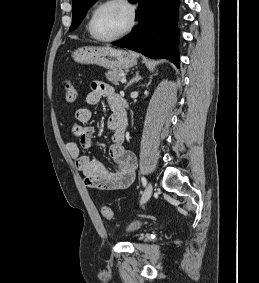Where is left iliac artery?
Listing matches in <instances>:
<instances>
[{
	"label": "left iliac artery",
	"instance_id": "44dca946",
	"mask_svg": "<svg viewBox=\"0 0 259 283\" xmlns=\"http://www.w3.org/2000/svg\"><path fill=\"white\" fill-rule=\"evenodd\" d=\"M141 181H142L143 186L145 187V186H146V183H147L145 177H141Z\"/></svg>",
	"mask_w": 259,
	"mask_h": 283
}]
</instances>
